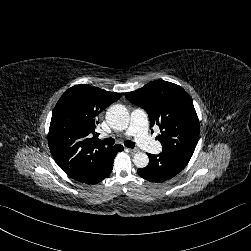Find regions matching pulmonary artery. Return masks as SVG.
Returning <instances> with one entry per match:
<instances>
[{"label":"pulmonary artery","instance_id":"e3ab8cb5","mask_svg":"<svg viewBox=\"0 0 251 251\" xmlns=\"http://www.w3.org/2000/svg\"><path fill=\"white\" fill-rule=\"evenodd\" d=\"M148 113L144 107L138 106L132 110L130 119V132L127 130L123 133V136L130 137L135 140L139 147L149 154H158L162 150V145L153 140L148 132L147 121Z\"/></svg>","mask_w":251,"mask_h":251}]
</instances>
